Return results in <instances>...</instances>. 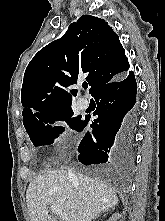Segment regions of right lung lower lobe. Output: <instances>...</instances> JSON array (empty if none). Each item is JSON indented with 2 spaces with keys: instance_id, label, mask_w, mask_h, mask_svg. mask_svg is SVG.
<instances>
[{
  "instance_id": "1",
  "label": "right lung lower lobe",
  "mask_w": 165,
  "mask_h": 221,
  "mask_svg": "<svg viewBox=\"0 0 165 221\" xmlns=\"http://www.w3.org/2000/svg\"><path fill=\"white\" fill-rule=\"evenodd\" d=\"M137 83L134 73L101 86L92 96L98 115L79 144L78 159L85 165L109 163L117 168L129 167L133 161ZM85 119L79 132L88 125Z\"/></svg>"
}]
</instances>
